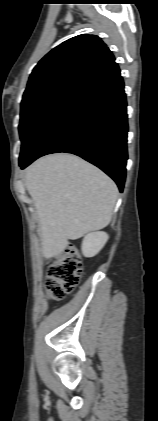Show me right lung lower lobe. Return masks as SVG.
Returning <instances> with one entry per match:
<instances>
[{
	"label": "right lung lower lobe",
	"instance_id": "1",
	"mask_svg": "<svg viewBox=\"0 0 158 421\" xmlns=\"http://www.w3.org/2000/svg\"><path fill=\"white\" fill-rule=\"evenodd\" d=\"M124 83L112 63L75 91L43 128L24 169L37 158L66 152L108 174L123 191L127 162V112Z\"/></svg>",
	"mask_w": 158,
	"mask_h": 421
}]
</instances>
